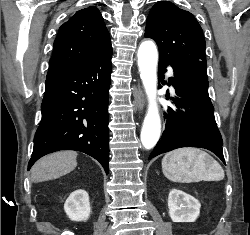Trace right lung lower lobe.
I'll return each instance as SVG.
<instances>
[{
  "instance_id": "right-lung-lower-lobe-1",
  "label": "right lung lower lobe",
  "mask_w": 250,
  "mask_h": 235,
  "mask_svg": "<svg viewBox=\"0 0 250 235\" xmlns=\"http://www.w3.org/2000/svg\"><path fill=\"white\" fill-rule=\"evenodd\" d=\"M111 58L112 48L78 68L47 74L28 170L46 154L76 150L94 157L108 174Z\"/></svg>"
}]
</instances>
